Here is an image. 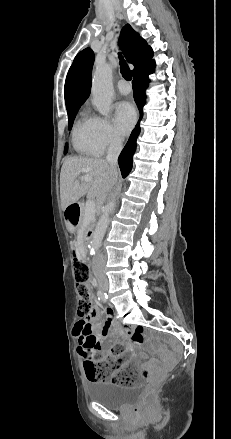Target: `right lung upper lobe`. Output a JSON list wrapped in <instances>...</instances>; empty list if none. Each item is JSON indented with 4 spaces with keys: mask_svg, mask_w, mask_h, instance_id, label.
Listing matches in <instances>:
<instances>
[{
    "mask_svg": "<svg viewBox=\"0 0 231 439\" xmlns=\"http://www.w3.org/2000/svg\"><path fill=\"white\" fill-rule=\"evenodd\" d=\"M121 47L127 61L134 65L132 74L152 62L153 51L146 41L127 24L121 30ZM94 63L92 49L86 48L75 57L65 81L67 110L80 107L89 97Z\"/></svg>",
    "mask_w": 231,
    "mask_h": 439,
    "instance_id": "1",
    "label": "right lung upper lobe"
}]
</instances>
